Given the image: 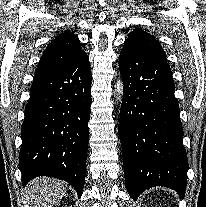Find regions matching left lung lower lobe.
Instances as JSON below:
<instances>
[{
    "instance_id": "left-lung-lower-lobe-1",
    "label": "left lung lower lobe",
    "mask_w": 206,
    "mask_h": 207,
    "mask_svg": "<svg viewBox=\"0 0 206 207\" xmlns=\"http://www.w3.org/2000/svg\"><path fill=\"white\" fill-rule=\"evenodd\" d=\"M124 84L120 140L126 188L136 200L146 189L164 186L184 196L188 160L174 81L167 62L123 47Z\"/></svg>"
}]
</instances>
